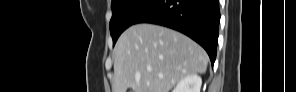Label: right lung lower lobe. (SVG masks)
<instances>
[{"label": "right lung lower lobe", "mask_w": 296, "mask_h": 92, "mask_svg": "<svg viewBox=\"0 0 296 92\" xmlns=\"http://www.w3.org/2000/svg\"><path fill=\"white\" fill-rule=\"evenodd\" d=\"M219 21L218 0H157L133 24H158L186 34L206 50L213 65Z\"/></svg>", "instance_id": "right-lung-lower-lobe-1"}]
</instances>
